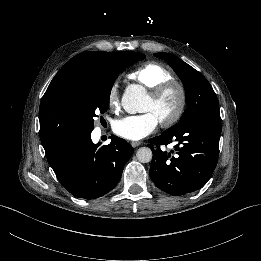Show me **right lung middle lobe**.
Returning <instances> with one entry per match:
<instances>
[{
	"mask_svg": "<svg viewBox=\"0 0 261 261\" xmlns=\"http://www.w3.org/2000/svg\"><path fill=\"white\" fill-rule=\"evenodd\" d=\"M144 58L145 55L142 53L123 52L114 63L82 79L78 90L84 119L80 135L91 134L96 113L103 114L108 110L110 92L119 73ZM40 138L46 154L61 144V141L52 134H40Z\"/></svg>",
	"mask_w": 261,
	"mask_h": 261,
	"instance_id": "dd1d6c3e",
	"label": "right lung middle lobe"
}]
</instances>
